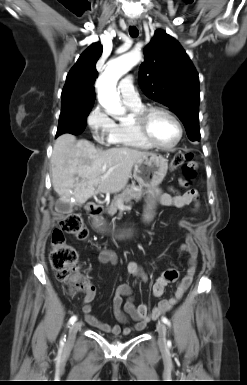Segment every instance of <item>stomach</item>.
I'll return each instance as SVG.
<instances>
[{"label":"stomach","instance_id":"stomach-1","mask_svg":"<svg viewBox=\"0 0 247 385\" xmlns=\"http://www.w3.org/2000/svg\"><path fill=\"white\" fill-rule=\"evenodd\" d=\"M168 170V160L162 155L156 153H148L138 159L134 164L133 177L141 187H144L147 205L145 220L151 221L154 217V208L156 198L158 196V186L163 181ZM129 234H121L120 238Z\"/></svg>","mask_w":247,"mask_h":385}]
</instances>
